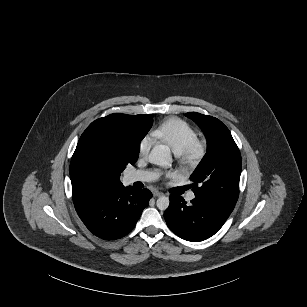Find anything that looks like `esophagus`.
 <instances>
[{
  "instance_id": "1",
  "label": "esophagus",
  "mask_w": 307,
  "mask_h": 307,
  "mask_svg": "<svg viewBox=\"0 0 307 307\" xmlns=\"http://www.w3.org/2000/svg\"><path fill=\"white\" fill-rule=\"evenodd\" d=\"M163 195H164V193L161 192V191H158V190H156V191L153 192V196H154V197H160V196H163Z\"/></svg>"
}]
</instances>
